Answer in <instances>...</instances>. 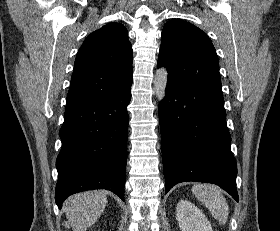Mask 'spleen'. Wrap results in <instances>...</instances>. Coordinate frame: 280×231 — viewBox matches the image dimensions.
Wrapping results in <instances>:
<instances>
[{"label":"spleen","mask_w":280,"mask_h":231,"mask_svg":"<svg viewBox=\"0 0 280 231\" xmlns=\"http://www.w3.org/2000/svg\"><path fill=\"white\" fill-rule=\"evenodd\" d=\"M192 191L200 201L205 203L213 217L218 219L221 225H224L228 217V205L226 197L222 195L218 187L209 185V183H196L193 185Z\"/></svg>","instance_id":"1"}]
</instances>
